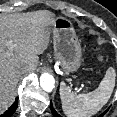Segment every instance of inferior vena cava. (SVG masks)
<instances>
[{
	"instance_id": "obj_1",
	"label": "inferior vena cava",
	"mask_w": 117,
	"mask_h": 117,
	"mask_svg": "<svg viewBox=\"0 0 117 117\" xmlns=\"http://www.w3.org/2000/svg\"><path fill=\"white\" fill-rule=\"evenodd\" d=\"M26 71V68H20L19 69V73L21 74V73H23V72H25Z\"/></svg>"
}]
</instances>
